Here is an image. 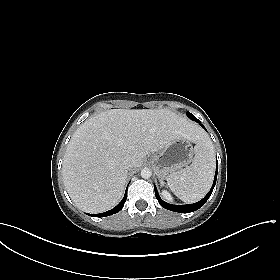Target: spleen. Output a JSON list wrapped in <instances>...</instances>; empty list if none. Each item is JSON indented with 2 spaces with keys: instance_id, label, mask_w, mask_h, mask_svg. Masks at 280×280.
Listing matches in <instances>:
<instances>
[{
  "instance_id": "obj_1",
  "label": "spleen",
  "mask_w": 280,
  "mask_h": 280,
  "mask_svg": "<svg viewBox=\"0 0 280 280\" xmlns=\"http://www.w3.org/2000/svg\"><path fill=\"white\" fill-rule=\"evenodd\" d=\"M192 164L167 177L171 191L182 201L194 203L209 191L214 177L215 156L211 143L204 139L194 147Z\"/></svg>"
}]
</instances>
